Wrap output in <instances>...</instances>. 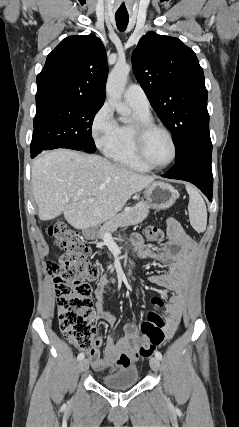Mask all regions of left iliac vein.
<instances>
[{
  "label": "left iliac vein",
  "instance_id": "1",
  "mask_svg": "<svg viewBox=\"0 0 239 427\" xmlns=\"http://www.w3.org/2000/svg\"><path fill=\"white\" fill-rule=\"evenodd\" d=\"M150 367L154 372H157L160 369V361L156 357L150 359Z\"/></svg>",
  "mask_w": 239,
  "mask_h": 427
}]
</instances>
